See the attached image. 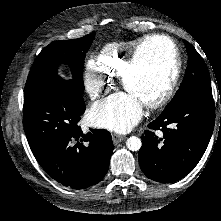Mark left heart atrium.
Returning <instances> with one entry per match:
<instances>
[{
  "mask_svg": "<svg viewBox=\"0 0 221 221\" xmlns=\"http://www.w3.org/2000/svg\"><path fill=\"white\" fill-rule=\"evenodd\" d=\"M90 116L101 127L125 133L142 117V103L127 92H119L95 104Z\"/></svg>",
  "mask_w": 221,
  "mask_h": 221,
  "instance_id": "1",
  "label": "left heart atrium"
}]
</instances>
